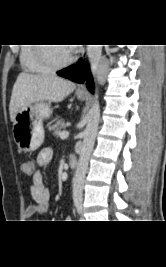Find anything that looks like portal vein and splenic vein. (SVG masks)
I'll return each instance as SVG.
<instances>
[{"mask_svg":"<svg viewBox=\"0 0 166 267\" xmlns=\"http://www.w3.org/2000/svg\"><path fill=\"white\" fill-rule=\"evenodd\" d=\"M68 136H69V133H68L67 131H63V132H61V133L59 134V137H60L61 139H66V138H68Z\"/></svg>","mask_w":166,"mask_h":267,"instance_id":"1","label":"portal vein and splenic vein"}]
</instances>
